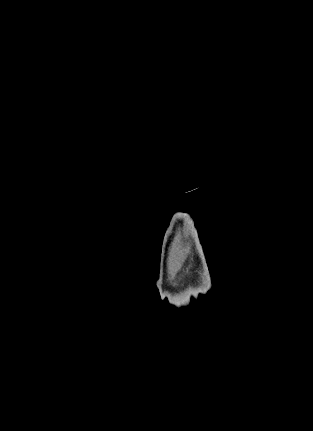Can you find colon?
<instances>
[{"mask_svg":"<svg viewBox=\"0 0 313 431\" xmlns=\"http://www.w3.org/2000/svg\"><path fill=\"white\" fill-rule=\"evenodd\" d=\"M230 116H231V117H232V116L236 117V115H235V114H231ZM231 117L228 119V122H229V123L233 120Z\"/></svg>","mask_w":313,"mask_h":431,"instance_id":"obj_1","label":"colon"}]
</instances>
